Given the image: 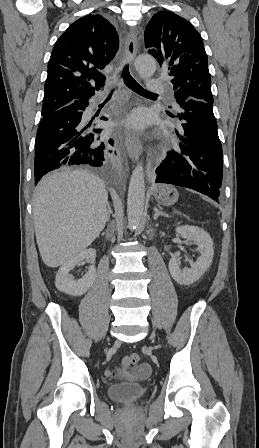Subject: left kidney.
<instances>
[{"label":"left kidney","instance_id":"1","mask_svg":"<svg viewBox=\"0 0 259 448\" xmlns=\"http://www.w3.org/2000/svg\"><path fill=\"white\" fill-rule=\"evenodd\" d=\"M176 232L180 234L181 238L196 242L197 250L201 254L191 268L181 270L180 252H176L169 262L168 268L173 280L180 286H190L193 282H197L211 266L214 256L213 240L207 232H204L201 228H196V226H180V228H176Z\"/></svg>","mask_w":259,"mask_h":448}]
</instances>
